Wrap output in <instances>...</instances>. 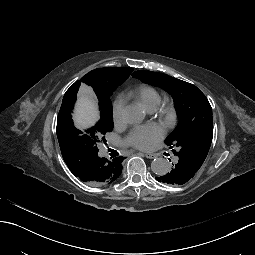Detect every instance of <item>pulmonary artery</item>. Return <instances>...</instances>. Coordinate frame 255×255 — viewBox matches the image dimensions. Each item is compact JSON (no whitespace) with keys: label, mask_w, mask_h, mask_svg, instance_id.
Segmentation results:
<instances>
[{"label":"pulmonary artery","mask_w":255,"mask_h":255,"mask_svg":"<svg viewBox=\"0 0 255 255\" xmlns=\"http://www.w3.org/2000/svg\"><path fill=\"white\" fill-rule=\"evenodd\" d=\"M136 136H139V133H136ZM178 159H179L178 154H177L175 151H172V152L170 153V161H171L172 163H175L176 161H178Z\"/></svg>","instance_id":"pulmonary-artery-1"}]
</instances>
